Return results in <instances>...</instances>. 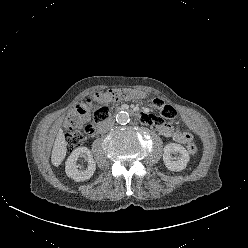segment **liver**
<instances>
[{"instance_id":"obj_1","label":"liver","mask_w":248,"mask_h":248,"mask_svg":"<svg viewBox=\"0 0 248 248\" xmlns=\"http://www.w3.org/2000/svg\"><path fill=\"white\" fill-rule=\"evenodd\" d=\"M66 146L67 143L63 131L60 129L54 141L51 155V161L54 166L58 167L65 159L67 152Z\"/></svg>"}]
</instances>
